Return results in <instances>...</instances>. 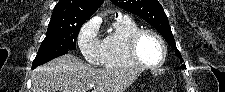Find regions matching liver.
<instances>
[{
	"label": "liver",
	"instance_id": "6515ba94",
	"mask_svg": "<svg viewBox=\"0 0 225 92\" xmlns=\"http://www.w3.org/2000/svg\"><path fill=\"white\" fill-rule=\"evenodd\" d=\"M140 75L136 69H96L72 54L36 68L32 92H124Z\"/></svg>",
	"mask_w": 225,
	"mask_h": 92
}]
</instances>
